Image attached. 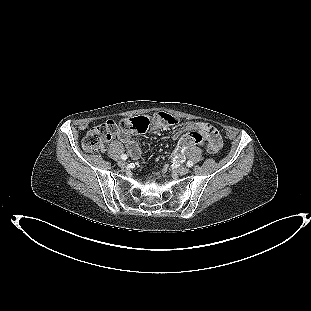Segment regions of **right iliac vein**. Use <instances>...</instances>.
I'll return each instance as SVG.
<instances>
[{
    "mask_svg": "<svg viewBox=\"0 0 311 311\" xmlns=\"http://www.w3.org/2000/svg\"><path fill=\"white\" fill-rule=\"evenodd\" d=\"M118 165L122 168L126 167L127 166V163L125 161H119L118 162Z\"/></svg>",
    "mask_w": 311,
    "mask_h": 311,
    "instance_id": "obj_1",
    "label": "right iliac vein"
}]
</instances>
